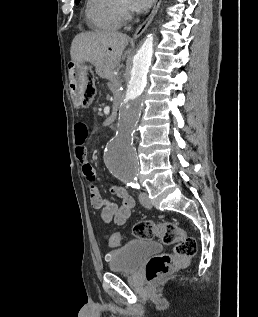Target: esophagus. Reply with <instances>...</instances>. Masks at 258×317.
I'll use <instances>...</instances> for the list:
<instances>
[{
  "instance_id": "obj_1",
  "label": "esophagus",
  "mask_w": 258,
  "mask_h": 317,
  "mask_svg": "<svg viewBox=\"0 0 258 317\" xmlns=\"http://www.w3.org/2000/svg\"><path fill=\"white\" fill-rule=\"evenodd\" d=\"M160 2L161 0H155V4L154 7L152 9V12L150 13V15L146 18V20L141 23V25H139V27L137 28V30L135 31L133 38L136 39L138 37H140V35H142V33L147 29V27L150 25V23L152 22L154 16L156 15V12L160 6Z\"/></svg>"
}]
</instances>
